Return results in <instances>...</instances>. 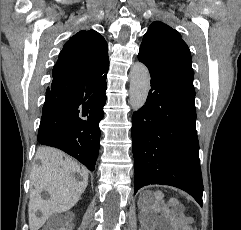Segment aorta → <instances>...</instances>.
I'll list each match as a JSON object with an SVG mask.
<instances>
[{"label":"aorta","instance_id":"762f6f07","mask_svg":"<svg viewBox=\"0 0 241 230\" xmlns=\"http://www.w3.org/2000/svg\"><path fill=\"white\" fill-rule=\"evenodd\" d=\"M150 89V74L147 67L136 62L130 70V105L137 111L144 106Z\"/></svg>","mask_w":241,"mask_h":230}]
</instances>
